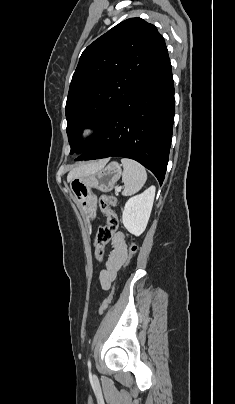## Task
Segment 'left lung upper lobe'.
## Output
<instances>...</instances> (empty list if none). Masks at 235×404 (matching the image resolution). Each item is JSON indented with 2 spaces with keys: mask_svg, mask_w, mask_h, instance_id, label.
Here are the masks:
<instances>
[{
  "mask_svg": "<svg viewBox=\"0 0 235 404\" xmlns=\"http://www.w3.org/2000/svg\"><path fill=\"white\" fill-rule=\"evenodd\" d=\"M166 52L162 35L141 18L119 23L83 51L65 108L70 154L80 146L82 155L93 144L118 106ZM85 126L97 131L82 145Z\"/></svg>",
  "mask_w": 235,
  "mask_h": 404,
  "instance_id": "obj_1",
  "label": "left lung upper lobe"
}]
</instances>
